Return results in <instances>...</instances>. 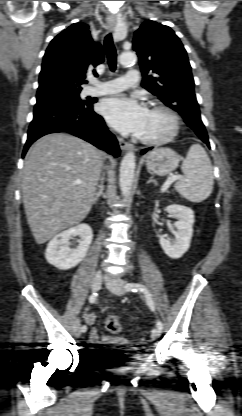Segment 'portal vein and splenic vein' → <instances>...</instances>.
<instances>
[{"instance_id": "1", "label": "portal vein and splenic vein", "mask_w": 242, "mask_h": 416, "mask_svg": "<svg viewBox=\"0 0 242 416\" xmlns=\"http://www.w3.org/2000/svg\"><path fill=\"white\" fill-rule=\"evenodd\" d=\"M179 178H180V176H178V175H175V176L169 177V178L167 179V181L165 182V184L163 185V187H162L161 191H162V192H165V191L169 188V186L171 185V183H172L173 181H175L176 179H179Z\"/></svg>"}]
</instances>
